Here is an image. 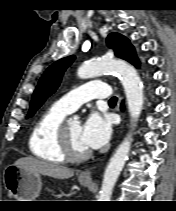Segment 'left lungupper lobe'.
Returning a JSON list of instances; mask_svg holds the SVG:
<instances>
[{
    "mask_svg": "<svg viewBox=\"0 0 176 211\" xmlns=\"http://www.w3.org/2000/svg\"><path fill=\"white\" fill-rule=\"evenodd\" d=\"M107 44L114 49L115 55L139 67L135 49L130 41L119 33H111ZM75 56H68L53 63L42 75L32 96L28 117L40 108L44 101L55 92L67 67L74 61Z\"/></svg>",
    "mask_w": 176,
    "mask_h": 211,
    "instance_id": "obj_1",
    "label": "left lung upper lobe"
}]
</instances>
